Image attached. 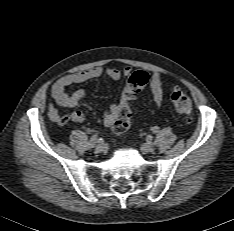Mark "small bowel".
<instances>
[{
  "label": "small bowel",
  "mask_w": 234,
  "mask_h": 231,
  "mask_svg": "<svg viewBox=\"0 0 234 231\" xmlns=\"http://www.w3.org/2000/svg\"><path fill=\"white\" fill-rule=\"evenodd\" d=\"M106 74L112 80H119L122 77H127L131 74V68L125 67L119 69L111 67L103 69L102 67H93L84 71L68 74L60 77L55 81L51 89V96L54 102L65 108L77 106L80 101L86 96L84 89H78L72 93L67 92V87L75 84L86 82L98 78ZM150 88L153 94V100L157 107H160L164 101V87L161 76L158 73H153L150 79ZM119 112L118 104H111L103 114V122L107 127H113ZM48 115L51 120L56 121L59 118V113L53 106L49 107ZM69 119L73 122L80 123L84 120V114L81 111H75L69 115Z\"/></svg>",
  "instance_id": "small-bowel-1"
}]
</instances>
